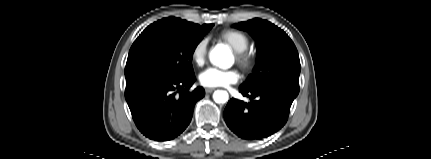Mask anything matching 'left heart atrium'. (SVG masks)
<instances>
[{"mask_svg": "<svg viewBox=\"0 0 431 159\" xmlns=\"http://www.w3.org/2000/svg\"><path fill=\"white\" fill-rule=\"evenodd\" d=\"M239 78V73L234 69L222 70L215 67L204 70L199 76L200 83L208 88L225 87L236 83Z\"/></svg>", "mask_w": 431, "mask_h": 159, "instance_id": "1", "label": "left heart atrium"}]
</instances>
